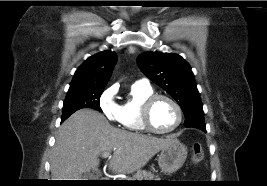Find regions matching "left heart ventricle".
<instances>
[{"label": "left heart ventricle", "instance_id": "1", "mask_svg": "<svg viewBox=\"0 0 267 186\" xmlns=\"http://www.w3.org/2000/svg\"><path fill=\"white\" fill-rule=\"evenodd\" d=\"M177 120V112L174 106L167 100L156 101L151 111V121L160 130L171 128Z\"/></svg>", "mask_w": 267, "mask_h": 186}]
</instances>
